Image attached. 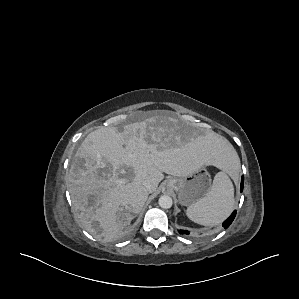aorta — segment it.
Segmentation results:
<instances>
[{
    "instance_id": "obj_1",
    "label": "aorta",
    "mask_w": 299,
    "mask_h": 299,
    "mask_svg": "<svg viewBox=\"0 0 299 299\" xmlns=\"http://www.w3.org/2000/svg\"><path fill=\"white\" fill-rule=\"evenodd\" d=\"M159 206L164 209H169L172 207L173 200L168 195H163L158 200Z\"/></svg>"
}]
</instances>
